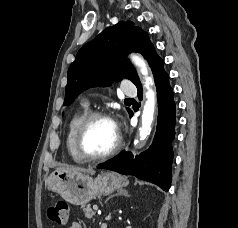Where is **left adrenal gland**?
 <instances>
[{"label": "left adrenal gland", "instance_id": "left-adrenal-gland-1", "mask_svg": "<svg viewBox=\"0 0 238 228\" xmlns=\"http://www.w3.org/2000/svg\"><path fill=\"white\" fill-rule=\"evenodd\" d=\"M118 195L129 196L127 190L120 189V190L117 191V194L110 196V197L106 200V202H107L110 198L115 197V196H118Z\"/></svg>", "mask_w": 238, "mask_h": 228}]
</instances>
